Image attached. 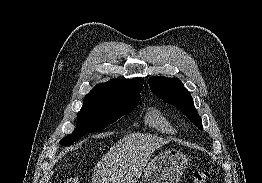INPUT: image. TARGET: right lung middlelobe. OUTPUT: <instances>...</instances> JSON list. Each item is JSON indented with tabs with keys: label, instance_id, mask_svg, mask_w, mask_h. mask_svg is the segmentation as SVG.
<instances>
[{
	"label": "right lung middle lobe",
	"instance_id": "dd1d6c3e",
	"mask_svg": "<svg viewBox=\"0 0 262 183\" xmlns=\"http://www.w3.org/2000/svg\"><path fill=\"white\" fill-rule=\"evenodd\" d=\"M139 100L109 102L84 99L83 106L77 114L75 131L64 137L60 141V145H72L87 133L103 130L109 124L134 110Z\"/></svg>",
	"mask_w": 262,
	"mask_h": 183
}]
</instances>
